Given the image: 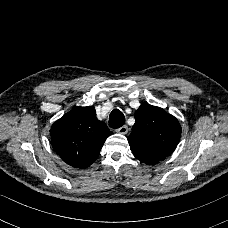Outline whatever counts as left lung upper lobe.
<instances>
[{
	"instance_id": "obj_1",
	"label": "left lung upper lobe",
	"mask_w": 228,
	"mask_h": 228,
	"mask_svg": "<svg viewBox=\"0 0 228 228\" xmlns=\"http://www.w3.org/2000/svg\"><path fill=\"white\" fill-rule=\"evenodd\" d=\"M181 137L178 120L162 108L142 103L135 112V124L128 142L134 156L145 164L164 160Z\"/></svg>"
}]
</instances>
